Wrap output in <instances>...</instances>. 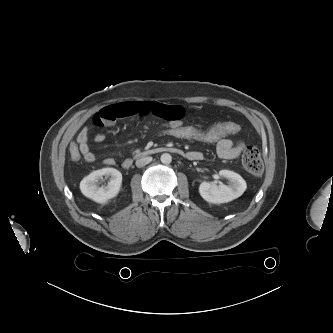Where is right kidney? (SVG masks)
<instances>
[{
  "instance_id": "1",
  "label": "right kidney",
  "mask_w": 333,
  "mask_h": 333,
  "mask_svg": "<svg viewBox=\"0 0 333 333\" xmlns=\"http://www.w3.org/2000/svg\"><path fill=\"white\" fill-rule=\"evenodd\" d=\"M105 176L109 178L106 186L99 187L100 179ZM122 185V174L114 168H103L93 171L80 182V190L83 195L97 203H105L114 198L120 191Z\"/></svg>"
}]
</instances>
